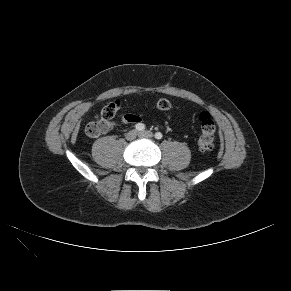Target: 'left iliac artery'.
Here are the masks:
<instances>
[{"label":"left iliac artery","mask_w":291,"mask_h":291,"mask_svg":"<svg viewBox=\"0 0 291 291\" xmlns=\"http://www.w3.org/2000/svg\"><path fill=\"white\" fill-rule=\"evenodd\" d=\"M163 137L162 133L161 132H156L155 133V138L160 140L161 138Z\"/></svg>","instance_id":"44dca946"}]
</instances>
